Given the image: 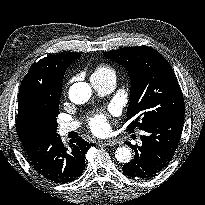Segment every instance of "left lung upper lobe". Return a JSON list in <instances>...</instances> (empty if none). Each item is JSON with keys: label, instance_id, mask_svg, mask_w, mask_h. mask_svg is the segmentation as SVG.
Wrapping results in <instances>:
<instances>
[{"label": "left lung upper lobe", "instance_id": "5c2ea615", "mask_svg": "<svg viewBox=\"0 0 205 205\" xmlns=\"http://www.w3.org/2000/svg\"><path fill=\"white\" fill-rule=\"evenodd\" d=\"M104 56L124 66L131 79L127 130H144L162 119L184 115V100L169 63L148 46L125 47Z\"/></svg>", "mask_w": 205, "mask_h": 205}]
</instances>
